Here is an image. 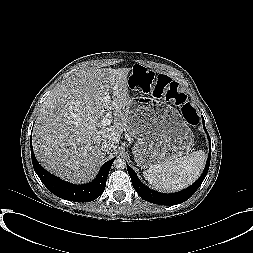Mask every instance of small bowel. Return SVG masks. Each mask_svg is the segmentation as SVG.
<instances>
[{"mask_svg":"<svg viewBox=\"0 0 253 253\" xmlns=\"http://www.w3.org/2000/svg\"><path fill=\"white\" fill-rule=\"evenodd\" d=\"M155 75H152V78L150 79H144V80H135L133 82V87L137 88L139 90H144L146 92L153 93L154 87H155V81L153 80Z\"/></svg>","mask_w":253,"mask_h":253,"instance_id":"1","label":"small bowel"}]
</instances>
